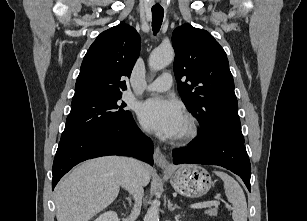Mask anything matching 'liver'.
<instances>
[{
	"instance_id": "1",
	"label": "liver",
	"mask_w": 307,
	"mask_h": 221,
	"mask_svg": "<svg viewBox=\"0 0 307 221\" xmlns=\"http://www.w3.org/2000/svg\"><path fill=\"white\" fill-rule=\"evenodd\" d=\"M125 158L105 156L76 167L55 189L57 221H89L118 196ZM138 174L143 186L151 177L149 165L141 163Z\"/></svg>"
}]
</instances>
